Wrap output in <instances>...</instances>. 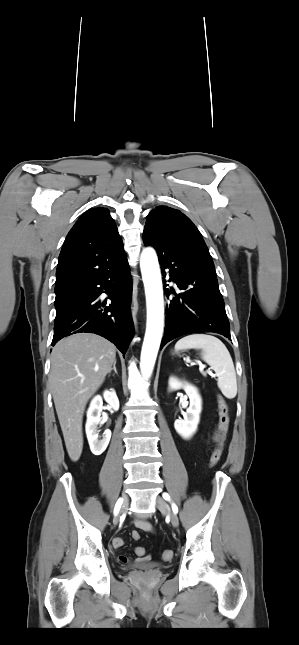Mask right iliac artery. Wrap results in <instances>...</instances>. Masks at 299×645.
I'll use <instances>...</instances> for the list:
<instances>
[{
	"label": "right iliac artery",
	"instance_id": "right-iliac-artery-1",
	"mask_svg": "<svg viewBox=\"0 0 299 645\" xmlns=\"http://www.w3.org/2000/svg\"><path fill=\"white\" fill-rule=\"evenodd\" d=\"M122 502H123V501H122V498H119V499H118V501H117V503H116V505H115V508H114V514H115V515H117V514H118V512H119V510H120V507H121Z\"/></svg>",
	"mask_w": 299,
	"mask_h": 645
}]
</instances>
